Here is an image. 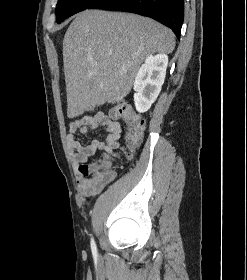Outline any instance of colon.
I'll use <instances>...</instances> for the list:
<instances>
[{
    "label": "colon",
    "mask_w": 247,
    "mask_h": 280,
    "mask_svg": "<svg viewBox=\"0 0 247 280\" xmlns=\"http://www.w3.org/2000/svg\"><path fill=\"white\" fill-rule=\"evenodd\" d=\"M115 116L121 118L127 126L126 142L129 147H135L142 140L144 120L134 113L127 103H120L114 110ZM84 172L97 179H108L111 176L110 161L107 157L85 165Z\"/></svg>",
    "instance_id": "colon-1"
}]
</instances>
